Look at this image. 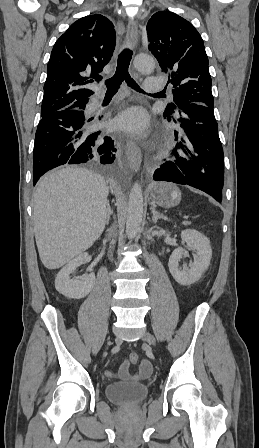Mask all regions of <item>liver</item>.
Listing matches in <instances>:
<instances>
[{
    "label": "liver",
    "mask_w": 259,
    "mask_h": 448,
    "mask_svg": "<svg viewBox=\"0 0 259 448\" xmlns=\"http://www.w3.org/2000/svg\"><path fill=\"white\" fill-rule=\"evenodd\" d=\"M108 194L104 178L87 168L68 166L40 178L32 196V218L45 268H61L100 238Z\"/></svg>",
    "instance_id": "1"
}]
</instances>
